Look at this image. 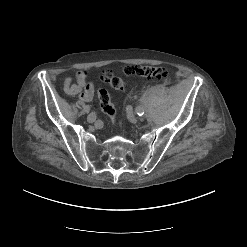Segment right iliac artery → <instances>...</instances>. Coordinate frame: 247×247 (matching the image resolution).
<instances>
[{
    "mask_svg": "<svg viewBox=\"0 0 247 247\" xmlns=\"http://www.w3.org/2000/svg\"><path fill=\"white\" fill-rule=\"evenodd\" d=\"M83 110H84V112H89V110H90V108H89V106L88 105H84L83 106ZM96 119V118H95Z\"/></svg>",
    "mask_w": 247,
    "mask_h": 247,
    "instance_id": "obj_1",
    "label": "right iliac artery"
}]
</instances>
